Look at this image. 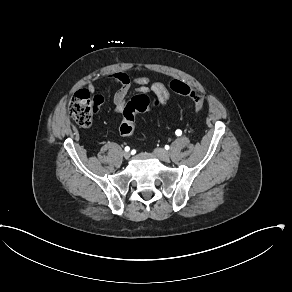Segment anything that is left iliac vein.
Masks as SVG:
<instances>
[{"label":"left iliac vein","mask_w":292,"mask_h":292,"mask_svg":"<svg viewBox=\"0 0 292 292\" xmlns=\"http://www.w3.org/2000/svg\"><path fill=\"white\" fill-rule=\"evenodd\" d=\"M154 153H155V155H156L160 160H162V161H164V162H168V161L170 160V155H169V153H168L166 150L162 149V148H156V149L154 150Z\"/></svg>","instance_id":"left-iliac-vein-1"}]
</instances>
